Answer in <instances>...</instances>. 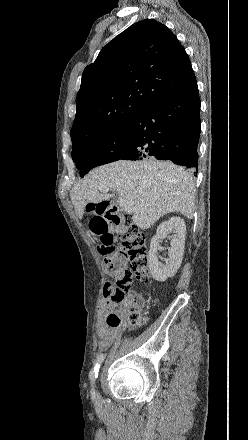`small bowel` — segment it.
I'll list each match as a JSON object with an SVG mask.
<instances>
[{"label":"small bowel","instance_id":"1","mask_svg":"<svg viewBox=\"0 0 248 440\" xmlns=\"http://www.w3.org/2000/svg\"><path fill=\"white\" fill-rule=\"evenodd\" d=\"M110 312H114L113 307H108L105 304H103L99 310L96 322V332L99 337L98 347L100 350L108 349L119 333V325L116 327H110L106 323V316ZM115 313H117L120 317H123L125 314V309L121 307Z\"/></svg>","mask_w":248,"mask_h":440}]
</instances>
